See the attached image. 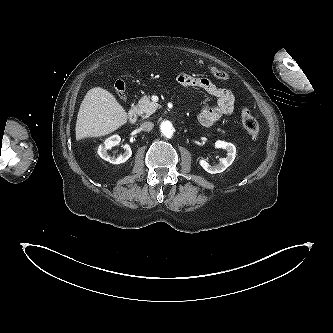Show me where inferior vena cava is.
Wrapping results in <instances>:
<instances>
[{
    "mask_svg": "<svg viewBox=\"0 0 333 333\" xmlns=\"http://www.w3.org/2000/svg\"><path fill=\"white\" fill-rule=\"evenodd\" d=\"M154 127V124L152 122H144L141 125V128L143 131H151Z\"/></svg>",
    "mask_w": 333,
    "mask_h": 333,
    "instance_id": "602c4592",
    "label": "inferior vena cava"
}]
</instances>
